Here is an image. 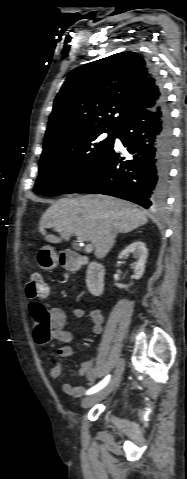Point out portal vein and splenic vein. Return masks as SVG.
<instances>
[{
    "label": "portal vein and splenic vein",
    "instance_id": "portal-vein-and-splenic-vein-1",
    "mask_svg": "<svg viewBox=\"0 0 187 479\" xmlns=\"http://www.w3.org/2000/svg\"><path fill=\"white\" fill-rule=\"evenodd\" d=\"M80 241H83L80 237H78ZM93 250V245L92 244H86L85 246V251L86 252H91Z\"/></svg>",
    "mask_w": 187,
    "mask_h": 479
}]
</instances>
